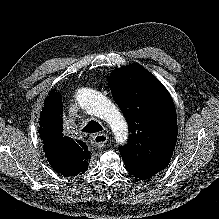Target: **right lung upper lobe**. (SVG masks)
<instances>
[{
  "label": "right lung upper lobe",
  "instance_id": "obj_1",
  "mask_svg": "<svg viewBox=\"0 0 219 219\" xmlns=\"http://www.w3.org/2000/svg\"><path fill=\"white\" fill-rule=\"evenodd\" d=\"M62 96L52 90L40 115V138L50 165L65 177L83 174L88 168L90 152L85 143L64 136Z\"/></svg>",
  "mask_w": 219,
  "mask_h": 219
}]
</instances>
